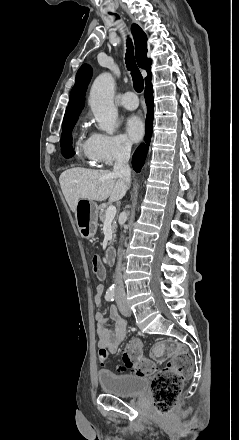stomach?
I'll return each mask as SVG.
<instances>
[{
    "instance_id": "0dacf381",
    "label": "stomach",
    "mask_w": 239,
    "mask_h": 440,
    "mask_svg": "<svg viewBox=\"0 0 239 440\" xmlns=\"http://www.w3.org/2000/svg\"><path fill=\"white\" fill-rule=\"evenodd\" d=\"M98 206L93 200L81 198L76 206L75 218L78 232L85 240L94 238L98 226Z\"/></svg>"
}]
</instances>
